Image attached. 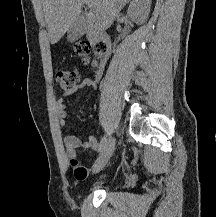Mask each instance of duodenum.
<instances>
[{"instance_id":"410a0bca","label":"duodenum","mask_w":216,"mask_h":217,"mask_svg":"<svg viewBox=\"0 0 216 217\" xmlns=\"http://www.w3.org/2000/svg\"><path fill=\"white\" fill-rule=\"evenodd\" d=\"M87 38L90 42L104 44L106 48H109L110 46L109 36L104 32L90 29L87 31ZM108 56H109V51H104V53L101 54L100 68L96 72L102 71L103 65L105 64Z\"/></svg>"}]
</instances>
